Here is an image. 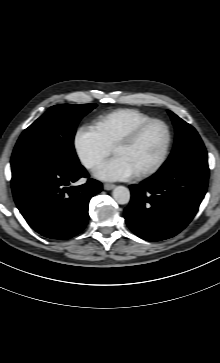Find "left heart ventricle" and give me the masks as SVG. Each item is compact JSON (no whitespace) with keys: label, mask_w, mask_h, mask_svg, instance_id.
<instances>
[{"label":"left heart ventricle","mask_w":220,"mask_h":363,"mask_svg":"<svg viewBox=\"0 0 220 363\" xmlns=\"http://www.w3.org/2000/svg\"><path fill=\"white\" fill-rule=\"evenodd\" d=\"M166 143V131L154 124L145 129L130 145L118 147L114 154L123 157L136 173L153 166L160 158Z\"/></svg>","instance_id":"left-heart-ventricle-1"}]
</instances>
